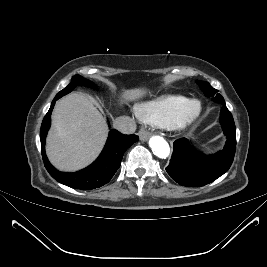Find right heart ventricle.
<instances>
[{
	"mask_svg": "<svg viewBox=\"0 0 267 267\" xmlns=\"http://www.w3.org/2000/svg\"><path fill=\"white\" fill-rule=\"evenodd\" d=\"M189 99L182 95H167L137 105V116L152 125L165 127Z\"/></svg>",
	"mask_w": 267,
	"mask_h": 267,
	"instance_id": "right-heart-ventricle-1",
	"label": "right heart ventricle"
}]
</instances>
